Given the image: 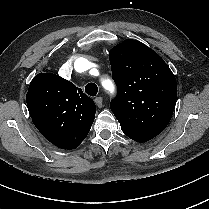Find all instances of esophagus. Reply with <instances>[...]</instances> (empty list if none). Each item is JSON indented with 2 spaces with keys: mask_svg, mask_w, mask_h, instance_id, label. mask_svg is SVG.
<instances>
[{
  "mask_svg": "<svg viewBox=\"0 0 209 209\" xmlns=\"http://www.w3.org/2000/svg\"><path fill=\"white\" fill-rule=\"evenodd\" d=\"M97 107L102 108L103 107V98L102 97H96L94 99Z\"/></svg>",
  "mask_w": 209,
  "mask_h": 209,
  "instance_id": "34e87169",
  "label": "esophagus"
}]
</instances>
